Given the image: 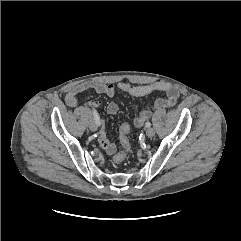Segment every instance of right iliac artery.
Returning a JSON list of instances; mask_svg holds the SVG:
<instances>
[{
	"instance_id": "obj_1",
	"label": "right iliac artery",
	"mask_w": 241,
	"mask_h": 241,
	"mask_svg": "<svg viewBox=\"0 0 241 241\" xmlns=\"http://www.w3.org/2000/svg\"><path fill=\"white\" fill-rule=\"evenodd\" d=\"M92 113H93L94 120H95L97 126H99L100 125V117H99L97 111L95 109H93Z\"/></svg>"
}]
</instances>
